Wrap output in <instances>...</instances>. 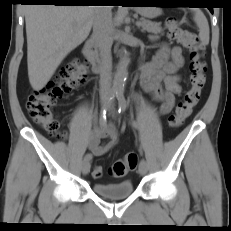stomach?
<instances>
[{"instance_id":"1","label":"stomach","mask_w":231,"mask_h":231,"mask_svg":"<svg viewBox=\"0 0 231 231\" xmlns=\"http://www.w3.org/2000/svg\"><path fill=\"white\" fill-rule=\"evenodd\" d=\"M153 8L137 7V11L144 17L153 18L156 14L152 11Z\"/></svg>"}]
</instances>
